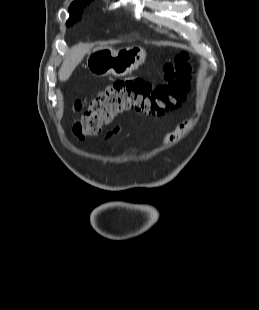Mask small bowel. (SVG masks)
<instances>
[{
	"label": "small bowel",
	"mask_w": 259,
	"mask_h": 310,
	"mask_svg": "<svg viewBox=\"0 0 259 310\" xmlns=\"http://www.w3.org/2000/svg\"><path fill=\"white\" fill-rule=\"evenodd\" d=\"M190 128V123L189 122H182L180 123L176 129L169 133L168 135L165 136L164 138V143L168 144L170 142L176 141L179 139L184 133H186ZM123 132L121 127H115L113 130L109 131L105 137L104 140H109L115 136H118Z\"/></svg>",
	"instance_id": "small-bowel-1"
}]
</instances>
